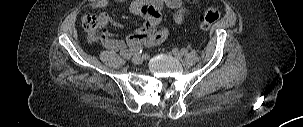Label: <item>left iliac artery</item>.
Instances as JSON below:
<instances>
[{
	"label": "left iliac artery",
	"instance_id": "44dca946",
	"mask_svg": "<svg viewBox=\"0 0 303 127\" xmlns=\"http://www.w3.org/2000/svg\"><path fill=\"white\" fill-rule=\"evenodd\" d=\"M181 53H182V55H186L187 54V49L186 48H182L181 49Z\"/></svg>",
	"mask_w": 303,
	"mask_h": 127
}]
</instances>
